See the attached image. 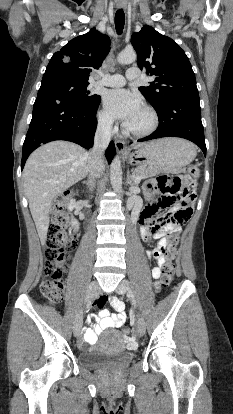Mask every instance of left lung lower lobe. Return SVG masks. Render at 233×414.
<instances>
[{"mask_svg": "<svg viewBox=\"0 0 233 414\" xmlns=\"http://www.w3.org/2000/svg\"><path fill=\"white\" fill-rule=\"evenodd\" d=\"M157 114L159 119L157 130L151 135L138 140L139 142L162 137H181L198 145L206 156L198 94L172 98Z\"/></svg>", "mask_w": 233, "mask_h": 414, "instance_id": "obj_1", "label": "left lung lower lobe"}]
</instances>
